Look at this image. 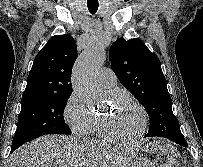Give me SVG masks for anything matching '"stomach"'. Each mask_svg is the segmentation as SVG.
Here are the masks:
<instances>
[{
	"label": "stomach",
	"mask_w": 203,
	"mask_h": 167,
	"mask_svg": "<svg viewBox=\"0 0 203 167\" xmlns=\"http://www.w3.org/2000/svg\"><path fill=\"white\" fill-rule=\"evenodd\" d=\"M126 167H155L154 164L144 157H136Z\"/></svg>",
	"instance_id": "1"
}]
</instances>
